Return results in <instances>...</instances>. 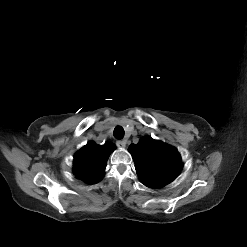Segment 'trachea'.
<instances>
[{"instance_id":"1","label":"trachea","mask_w":247,"mask_h":247,"mask_svg":"<svg viewBox=\"0 0 247 247\" xmlns=\"http://www.w3.org/2000/svg\"><path fill=\"white\" fill-rule=\"evenodd\" d=\"M124 133V129L121 126H116L113 132L116 139H122L124 137Z\"/></svg>"}]
</instances>
